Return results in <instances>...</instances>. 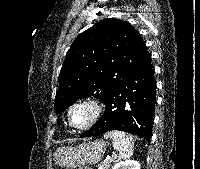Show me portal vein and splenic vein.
I'll return each instance as SVG.
<instances>
[{"mask_svg":"<svg viewBox=\"0 0 200 169\" xmlns=\"http://www.w3.org/2000/svg\"><path fill=\"white\" fill-rule=\"evenodd\" d=\"M113 157H114V156H112V157H111V156H107L106 159L108 160V159H111V158H113Z\"/></svg>","mask_w":200,"mask_h":169,"instance_id":"portal-vein-and-splenic-vein-1","label":"portal vein and splenic vein"}]
</instances>
